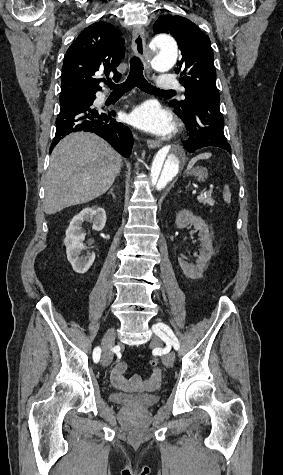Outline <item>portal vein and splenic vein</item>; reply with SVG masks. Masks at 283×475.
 <instances>
[{"label": "portal vein and splenic vein", "mask_w": 283, "mask_h": 475, "mask_svg": "<svg viewBox=\"0 0 283 475\" xmlns=\"http://www.w3.org/2000/svg\"><path fill=\"white\" fill-rule=\"evenodd\" d=\"M198 196H199V197H202V194H199Z\"/></svg>", "instance_id": "obj_1"}]
</instances>
